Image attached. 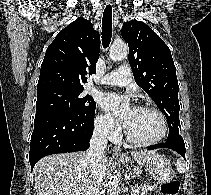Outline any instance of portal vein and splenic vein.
Wrapping results in <instances>:
<instances>
[{
  "label": "portal vein and splenic vein",
  "instance_id": "18ae733b",
  "mask_svg": "<svg viewBox=\"0 0 211 195\" xmlns=\"http://www.w3.org/2000/svg\"><path fill=\"white\" fill-rule=\"evenodd\" d=\"M137 194V189H133L132 192H131V195H136Z\"/></svg>",
  "mask_w": 211,
  "mask_h": 195
}]
</instances>
